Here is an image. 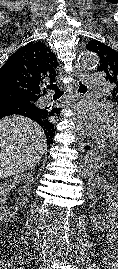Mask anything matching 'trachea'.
<instances>
[{
    "label": "trachea",
    "instance_id": "trachea-1",
    "mask_svg": "<svg viewBox=\"0 0 118 269\" xmlns=\"http://www.w3.org/2000/svg\"><path fill=\"white\" fill-rule=\"evenodd\" d=\"M47 89L54 90V95H62L64 93L57 84L47 85ZM78 91L83 93L87 92V87L82 83H79Z\"/></svg>",
    "mask_w": 118,
    "mask_h": 269
}]
</instances>
